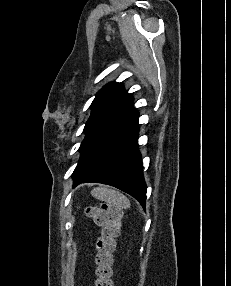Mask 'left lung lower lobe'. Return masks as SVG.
<instances>
[{"mask_svg": "<svg viewBox=\"0 0 231 286\" xmlns=\"http://www.w3.org/2000/svg\"><path fill=\"white\" fill-rule=\"evenodd\" d=\"M132 102L131 96L87 132L73 179L74 186L82 182L114 186L145 208L146 184L137 149L138 112Z\"/></svg>", "mask_w": 231, "mask_h": 286, "instance_id": "obj_1", "label": "left lung lower lobe"}]
</instances>
